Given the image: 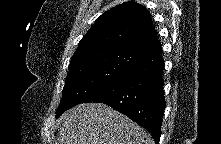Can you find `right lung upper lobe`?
Wrapping results in <instances>:
<instances>
[{"label":"right lung upper lobe","instance_id":"cb5924a9","mask_svg":"<svg viewBox=\"0 0 221 144\" xmlns=\"http://www.w3.org/2000/svg\"><path fill=\"white\" fill-rule=\"evenodd\" d=\"M159 46L149 12L136 2H127L108 10L96 20L81 39L71 63L112 50L145 56Z\"/></svg>","mask_w":221,"mask_h":144}]
</instances>
